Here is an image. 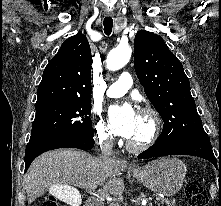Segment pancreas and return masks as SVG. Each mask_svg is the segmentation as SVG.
<instances>
[{
    "label": "pancreas",
    "mask_w": 221,
    "mask_h": 206,
    "mask_svg": "<svg viewBox=\"0 0 221 206\" xmlns=\"http://www.w3.org/2000/svg\"><path fill=\"white\" fill-rule=\"evenodd\" d=\"M166 204L167 206H175V201L174 200H169V199H165L163 201H161V205ZM160 204H158V206H161Z\"/></svg>",
    "instance_id": "cf45deb5"
}]
</instances>
